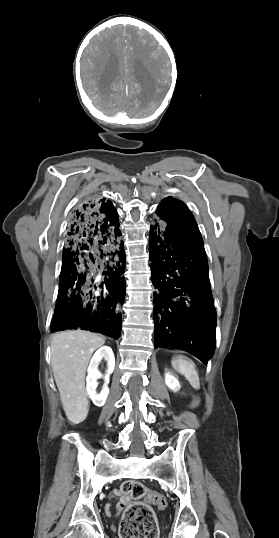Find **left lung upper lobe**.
Masks as SVG:
<instances>
[{
    "mask_svg": "<svg viewBox=\"0 0 279 538\" xmlns=\"http://www.w3.org/2000/svg\"><path fill=\"white\" fill-rule=\"evenodd\" d=\"M156 214L159 217V222L155 225L184 226L198 229L196 221L188 207L182 201L172 197L162 200Z\"/></svg>",
    "mask_w": 279,
    "mask_h": 538,
    "instance_id": "obj_1",
    "label": "left lung upper lobe"
}]
</instances>
